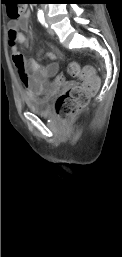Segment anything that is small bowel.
<instances>
[{"label":"small bowel","instance_id":"c3829d8e","mask_svg":"<svg viewBox=\"0 0 122 257\" xmlns=\"http://www.w3.org/2000/svg\"><path fill=\"white\" fill-rule=\"evenodd\" d=\"M29 16V10L24 8L20 17L9 22L8 29V40L11 57L15 64V73H18L20 82L27 89V98L54 93L56 90H49V85H51L53 74H57L59 68L55 62L58 56L55 49L46 55L50 59L46 65H41L34 59H28L26 52L18 51V43L28 45V39L24 32L30 31Z\"/></svg>","mask_w":122,"mask_h":257}]
</instances>
